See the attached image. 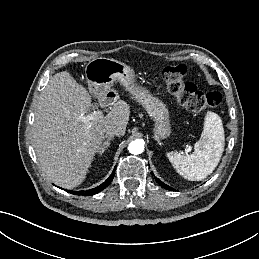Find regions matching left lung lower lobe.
Returning a JSON list of instances; mask_svg holds the SVG:
<instances>
[{
    "label": "left lung lower lobe",
    "mask_w": 259,
    "mask_h": 259,
    "mask_svg": "<svg viewBox=\"0 0 259 259\" xmlns=\"http://www.w3.org/2000/svg\"><path fill=\"white\" fill-rule=\"evenodd\" d=\"M156 181L159 183L160 186L164 187L165 189H168V190H174L173 188L167 186L166 184H164L162 181H160L159 179H156Z\"/></svg>",
    "instance_id": "left-lung-lower-lobe-1"
}]
</instances>
